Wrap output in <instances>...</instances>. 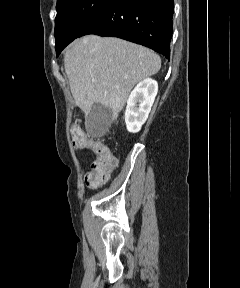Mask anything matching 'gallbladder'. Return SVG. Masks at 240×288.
Wrapping results in <instances>:
<instances>
[{"label":"gallbladder","mask_w":240,"mask_h":288,"mask_svg":"<svg viewBox=\"0 0 240 288\" xmlns=\"http://www.w3.org/2000/svg\"><path fill=\"white\" fill-rule=\"evenodd\" d=\"M109 111L101 104H94L90 113L87 115V122L107 121L109 119Z\"/></svg>","instance_id":"1"}]
</instances>
